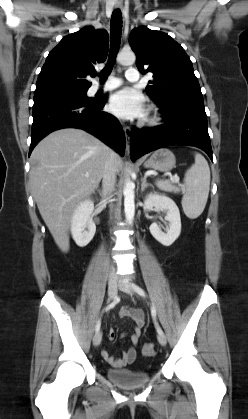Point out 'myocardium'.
Instances as JSON below:
<instances>
[{
	"instance_id": "1",
	"label": "myocardium",
	"mask_w": 248,
	"mask_h": 419,
	"mask_svg": "<svg viewBox=\"0 0 248 419\" xmlns=\"http://www.w3.org/2000/svg\"><path fill=\"white\" fill-rule=\"evenodd\" d=\"M159 119H160V116H159L158 112L155 109H152L151 114L148 118V122L150 124H155V123L158 122Z\"/></svg>"
}]
</instances>
